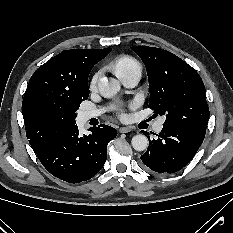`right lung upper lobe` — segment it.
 <instances>
[{
    "mask_svg": "<svg viewBox=\"0 0 233 233\" xmlns=\"http://www.w3.org/2000/svg\"><path fill=\"white\" fill-rule=\"evenodd\" d=\"M111 48L72 49L61 52L40 66L31 76L22 102L26 135L35 153L55 136L68 130L44 125L36 116L37 106L45 98H70L84 95L92 67Z\"/></svg>",
    "mask_w": 233,
    "mask_h": 233,
    "instance_id": "1",
    "label": "right lung upper lobe"
}]
</instances>
